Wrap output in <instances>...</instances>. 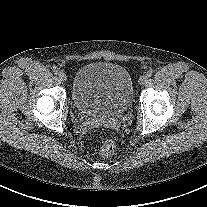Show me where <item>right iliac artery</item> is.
I'll use <instances>...</instances> for the list:
<instances>
[{"mask_svg":"<svg viewBox=\"0 0 207 207\" xmlns=\"http://www.w3.org/2000/svg\"><path fill=\"white\" fill-rule=\"evenodd\" d=\"M60 73V70L58 68H54V74H59Z\"/></svg>","mask_w":207,"mask_h":207,"instance_id":"82829eb1","label":"right iliac artery"}]
</instances>
